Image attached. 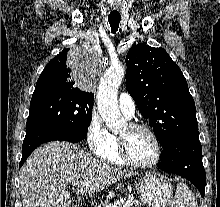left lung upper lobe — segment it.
Segmentation results:
<instances>
[{
	"mask_svg": "<svg viewBox=\"0 0 220 207\" xmlns=\"http://www.w3.org/2000/svg\"><path fill=\"white\" fill-rule=\"evenodd\" d=\"M126 65L128 93L139 112L149 119L163 148L178 136L198 130L186 79L163 48L134 45L127 53Z\"/></svg>",
	"mask_w": 220,
	"mask_h": 207,
	"instance_id": "1",
	"label": "left lung upper lobe"
}]
</instances>
